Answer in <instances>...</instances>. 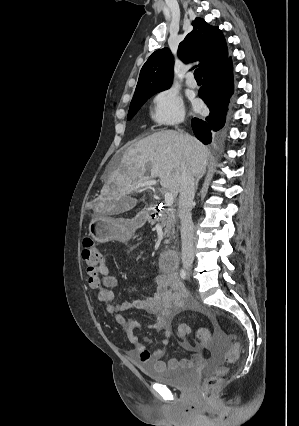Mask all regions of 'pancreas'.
I'll return each mask as SVG.
<instances>
[{
    "label": "pancreas",
    "instance_id": "1",
    "mask_svg": "<svg viewBox=\"0 0 299 426\" xmlns=\"http://www.w3.org/2000/svg\"><path fill=\"white\" fill-rule=\"evenodd\" d=\"M160 222V225L164 228L165 231V243L168 244L172 238H174V227L176 224V213L173 208L162 209L159 212L157 218L153 221Z\"/></svg>",
    "mask_w": 299,
    "mask_h": 426
}]
</instances>
